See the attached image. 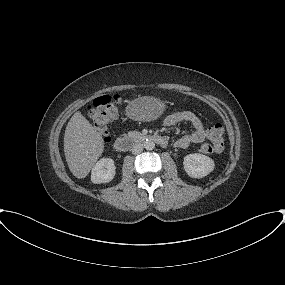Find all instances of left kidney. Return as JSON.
<instances>
[{
    "mask_svg": "<svg viewBox=\"0 0 285 285\" xmlns=\"http://www.w3.org/2000/svg\"><path fill=\"white\" fill-rule=\"evenodd\" d=\"M185 172L192 178H203L214 170V161L203 154L194 153L184 157Z\"/></svg>",
    "mask_w": 285,
    "mask_h": 285,
    "instance_id": "obj_1",
    "label": "left kidney"
}]
</instances>
